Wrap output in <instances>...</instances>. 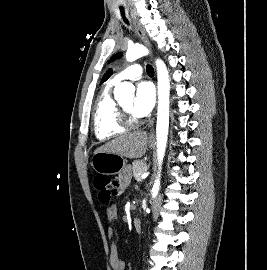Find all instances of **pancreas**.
I'll use <instances>...</instances> for the list:
<instances>
[{"mask_svg": "<svg viewBox=\"0 0 267 270\" xmlns=\"http://www.w3.org/2000/svg\"><path fill=\"white\" fill-rule=\"evenodd\" d=\"M148 166L147 164L142 160H136L133 162V176L135 180L139 181V177L141 174H143L147 170Z\"/></svg>", "mask_w": 267, "mask_h": 270, "instance_id": "pancreas-1", "label": "pancreas"}]
</instances>
